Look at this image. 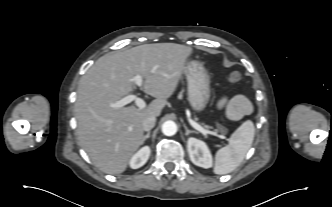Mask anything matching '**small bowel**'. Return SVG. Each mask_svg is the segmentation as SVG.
Here are the masks:
<instances>
[{"label": "small bowel", "instance_id": "small-bowel-1", "mask_svg": "<svg viewBox=\"0 0 332 207\" xmlns=\"http://www.w3.org/2000/svg\"><path fill=\"white\" fill-rule=\"evenodd\" d=\"M219 106L225 110L227 117L231 120H238L249 114L252 110L249 100L242 95L223 98Z\"/></svg>", "mask_w": 332, "mask_h": 207}]
</instances>
